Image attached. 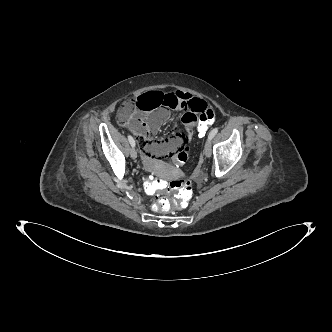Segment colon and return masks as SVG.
<instances>
[{
  "mask_svg": "<svg viewBox=\"0 0 332 332\" xmlns=\"http://www.w3.org/2000/svg\"><path fill=\"white\" fill-rule=\"evenodd\" d=\"M140 94V93H139ZM138 94V96H139ZM137 96V97H138ZM134 103H130L124 107V113L130 112L134 109ZM216 118V113L212 108H207L198 116L196 124L195 135L199 139H204L208 135L211 121ZM194 149L190 145H184L179 151L169 154L165 158L163 168L168 172H175L178 168L183 167L192 160ZM145 190L149 194H156L159 191H167L173 194L169 198H155L151 202V209L155 213H162L172 209L189 210L193 206V187L189 180L175 179L166 181L163 179L152 178L146 181Z\"/></svg>",
  "mask_w": 332,
  "mask_h": 332,
  "instance_id": "obj_1",
  "label": "colon"
}]
</instances>
